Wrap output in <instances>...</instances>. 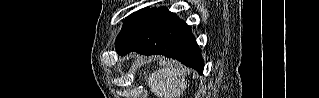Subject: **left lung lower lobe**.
I'll use <instances>...</instances> for the list:
<instances>
[{"mask_svg":"<svg viewBox=\"0 0 319 98\" xmlns=\"http://www.w3.org/2000/svg\"><path fill=\"white\" fill-rule=\"evenodd\" d=\"M162 54L203 73L204 61L189 26L165 7L149 10L130 40L117 50L125 55Z\"/></svg>","mask_w":319,"mask_h":98,"instance_id":"0a47b994","label":"left lung lower lobe"}]
</instances>
